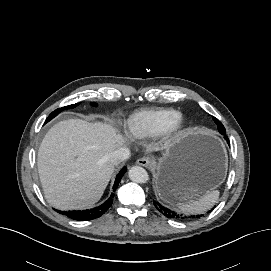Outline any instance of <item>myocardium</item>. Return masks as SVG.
<instances>
[{"label":"myocardium","mask_w":271,"mask_h":271,"mask_svg":"<svg viewBox=\"0 0 271 271\" xmlns=\"http://www.w3.org/2000/svg\"><path fill=\"white\" fill-rule=\"evenodd\" d=\"M187 118L182 115L178 114L169 127L165 130V134L170 138V139H178L180 138L187 130Z\"/></svg>","instance_id":"f54148a6"}]
</instances>
